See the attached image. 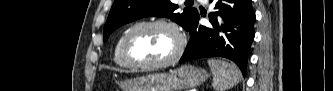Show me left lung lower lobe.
I'll return each instance as SVG.
<instances>
[{
    "label": "left lung lower lobe",
    "mask_w": 333,
    "mask_h": 91,
    "mask_svg": "<svg viewBox=\"0 0 333 91\" xmlns=\"http://www.w3.org/2000/svg\"><path fill=\"white\" fill-rule=\"evenodd\" d=\"M217 12L209 14L211 25L202 26L197 13L187 31L190 40L180 63L205 57H225L234 61L246 75L254 39L255 12L251 0H210Z\"/></svg>",
    "instance_id": "0a47b994"
}]
</instances>
